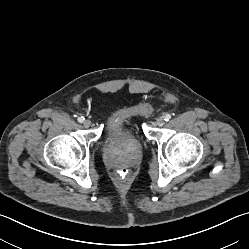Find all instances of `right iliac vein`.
<instances>
[{
    "mask_svg": "<svg viewBox=\"0 0 249 249\" xmlns=\"http://www.w3.org/2000/svg\"><path fill=\"white\" fill-rule=\"evenodd\" d=\"M83 125H84L85 128H88V127H90V125H91V121H90L89 119H86V120L83 122Z\"/></svg>",
    "mask_w": 249,
    "mask_h": 249,
    "instance_id": "63e3f726",
    "label": "right iliac vein"
}]
</instances>
